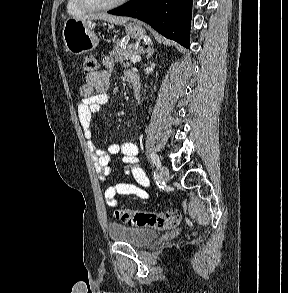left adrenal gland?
<instances>
[{"mask_svg":"<svg viewBox=\"0 0 288 293\" xmlns=\"http://www.w3.org/2000/svg\"><path fill=\"white\" fill-rule=\"evenodd\" d=\"M152 43L148 45V47L146 48L145 50V53H146V58L149 59L153 53H154V48L152 47Z\"/></svg>","mask_w":288,"mask_h":293,"instance_id":"a2214340","label":"left adrenal gland"}]
</instances>
